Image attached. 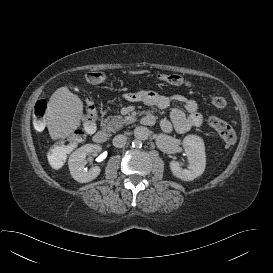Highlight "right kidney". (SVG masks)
I'll list each match as a JSON object with an SVG mask.
<instances>
[{"label":"right kidney","instance_id":"right-kidney-1","mask_svg":"<svg viewBox=\"0 0 273 273\" xmlns=\"http://www.w3.org/2000/svg\"><path fill=\"white\" fill-rule=\"evenodd\" d=\"M101 147L94 144H86L75 150L69 157L68 166L71 176L79 183H87L100 174V167L95 166L87 170L86 156L93 152L100 151Z\"/></svg>","mask_w":273,"mask_h":273}]
</instances>
